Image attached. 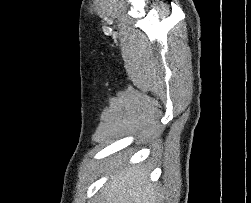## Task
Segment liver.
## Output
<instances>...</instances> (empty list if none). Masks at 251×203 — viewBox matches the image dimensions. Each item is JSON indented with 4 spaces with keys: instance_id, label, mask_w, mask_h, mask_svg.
I'll return each instance as SVG.
<instances>
[{
    "instance_id": "1",
    "label": "liver",
    "mask_w": 251,
    "mask_h": 203,
    "mask_svg": "<svg viewBox=\"0 0 251 203\" xmlns=\"http://www.w3.org/2000/svg\"><path fill=\"white\" fill-rule=\"evenodd\" d=\"M148 176L149 173L138 166L121 169L103 187L102 203H156V193Z\"/></svg>"
}]
</instances>
